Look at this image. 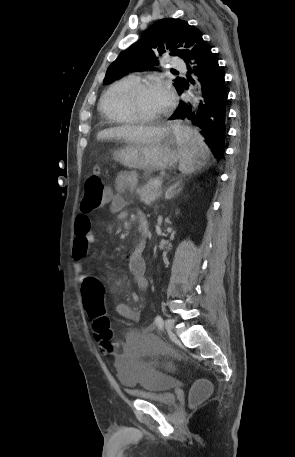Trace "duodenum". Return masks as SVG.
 I'll return each instance as SVG.
<instances>
[{
	"label": "duodenum",
	"mask_w": 295,
	"mask_h": 457,
	"mask_svg": "<svg viewBox=\"0 0 295 457\" xmlns=\"http://www.w3.org/2000/svg\"><path fill=\"white\" fill-rule=\"evenodd\" d=\"M139 225H140V228H141V231L143 233L144 236H146L149 232V225H148V222L146 220H144L143 218H140L139 219Z\"/></svg>",
	"instance_id": "obj_1"
}]
</instances>
